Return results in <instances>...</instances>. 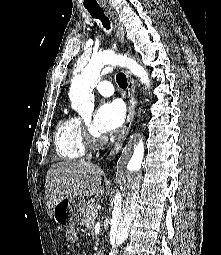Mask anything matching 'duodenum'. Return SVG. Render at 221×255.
Masks as SVG:
<instances>
[{
    "label": "duodenum",
    "mask_w": 221,
    "mask_h": 255,
    "mask_svg": "<svg viewBox=\"0 0 221 255\" xmlns=\"http://www.w3.org/2000/svg\"><path fill=\"white\" fill-rule=\"evenodd\" d=\"M97 255H102V253H98Z\"/></svg>",
    "instance_id": "duodenum-1"
}]
</instances>
